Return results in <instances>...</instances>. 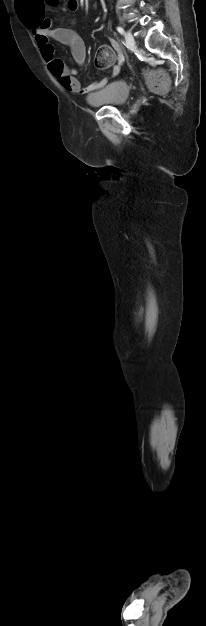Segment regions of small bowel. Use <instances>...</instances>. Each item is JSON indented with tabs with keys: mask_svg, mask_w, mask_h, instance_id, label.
Instances as JSON below:
<instances>
[{
	"mask_svg": "<svg viewBox=\"0 0 206 626\" xmlns=\"http://www.w3.org/2000/svg\"><path fill=\"white\" fill-rule=\"evenodd\" d=\"M78 7V0L67 1L69 11H76ZM28 19L32 22V25H28L27 22L26 24L28 27L32 28L33 36L43 59L48 65L49 71L64 89L75 94H85L97 91L107 83L108 77H104L83 88L75 76L76 71L71 69L61 59L55 57L54 46L50 42V39L69 46L74 61L79 66L84 65L86 60V46L83 39L73 29L54 27V19L52 17H45L39 10H36ZM110 46L115 51L119 64L123 63L124 57L118 43L112 40ZM118 72L119 66H115L112 75H116Z\"/></svg>",
	"mask_w": 206,
	"mask_h": 626,
	"instance_id": "obj_1",
	"label": "small bowel"
}]
</instances>
